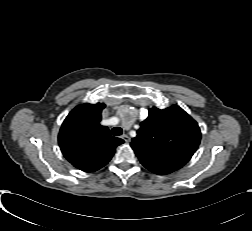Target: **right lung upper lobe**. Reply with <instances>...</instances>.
I'll return each mask as SVG.
<instances>
[{
    "label": "right lung upper lobe",
    "mask_w": 252,
    "mask_h": 231,
    "mask_svg": "<svg viewBox=\"0 0 252 231\" xmlns=\"http://www.w3.org/2000/svg\"><path fill=\"white\" fill-rule=\"evenodd\" d=\"M105 104H82L74 108L64 120L58 142L62 154L76 168L94 172L104 167L114 155L120 138L110 135L106 126L100 125Z\"/></svg>",
    "instance_id": "cb5924a9"
}]
</instances>
